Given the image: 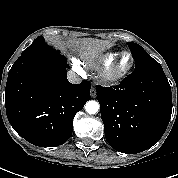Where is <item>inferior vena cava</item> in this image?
Listing matches in <instances>:
<instances>
[{
  "mask_svg": "<svg viewBox=\"0 0 178 178\" xmlns=\"http://www.w3.org/2000/svg\"><path fill=\"white\" fill-rule=\"evenodd\" d=\"M67 78L73 84H79L82 81V79L72 71L68 72Z\"/></svg>",
  "mask_w": 178,
  "mask_h": 178,
  "instance_id": "602c4592",
  "label": "inferior vena cava"
}]
</instances>
